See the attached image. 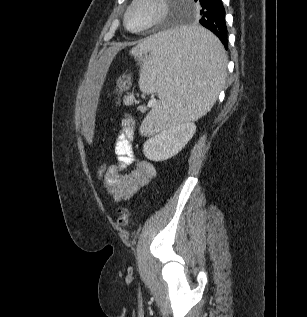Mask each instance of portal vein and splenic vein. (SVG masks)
<instances>
[{"label": "portal vein and splenic vein", "mask_w": 307, "mask_h": 317, "mask_svg": "<svg viewBox=\"0 0 307 317\" xmlns=\"http://www.w3.org/2000/svg\"><path fill=\"white\" fill-rule=\"evenodd\" d=\"M155 103H156V101H155V99H153V100H151L150 102H149V105H155Z\"/></svg>", "instance_id": "1"}]
</instances>
